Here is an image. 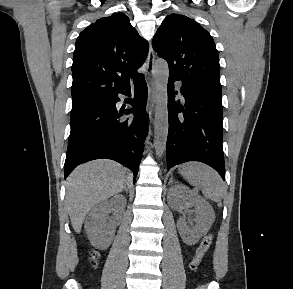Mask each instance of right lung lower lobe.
Wrapping results in <instances>:
<instances>
[{"label": "right lung lower lobe", "instance_id": "obj_1", "mask_svg": "<svg viewBox=\"0 0 293 289\" xmlns=\"http://www.w3.org/2000/svg\"><path fill=\"white\" fill-rule=\"evenodd\" d=\"M135 84L131 109L116 108L118 94L130 95V88L110 96L95 106L70 116L71 132L64 164L65 178L79 164L107 158L115 160L134 172V181L143 152L144 138L148 133L147 85L142 75ZM133 112V117L121 118Z\"/></svg>", "mask_w": 293, "mask_h": 289}]
</instances>
